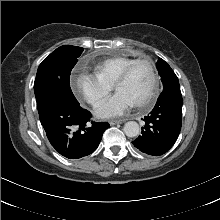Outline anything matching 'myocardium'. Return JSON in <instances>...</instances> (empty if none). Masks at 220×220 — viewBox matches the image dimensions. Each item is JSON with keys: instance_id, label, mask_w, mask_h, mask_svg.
I'll return each mask as SVG.
<instances>
[{"instance_id": "obj_1", "label": "myocardium", "mask_w": 220, "mask_h": 220, "mask_svg": "<svg viewBox=\"0 0 220 220\" xmlns=\"http://www.w3.org/2000/svg\"><path fill=\"white\" fill-rule=\"evenodd\" d=\"M139 64H146L151 74V86L148 95L144 100L135 104L136 107L142 108L151 104L155 100L158 93V74L155 64L150 58H140L132 61L116 79L114 83V88L117 89L119 85L124 83L130 77L133 69Z\"/></svg>"}]
</instances>
